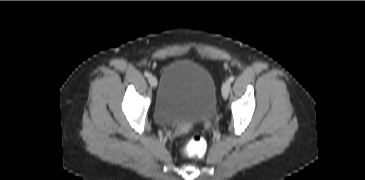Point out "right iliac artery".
<instances>
[{"instance_id":"right-iliac-artery-1","label":"right iliac artery","mask_w":365,"mask_h":180,"mask_svg":"<svg viewBox=\"0 0 365 180\" xmlns=\"http://www.w3.org/2000/svg\"><path fill=\"white\" fill-rule=\"evenodd\" d=\"M144 75H145L146 77H149L151 74H150L148 71H145V72H144Z\"/></svg>"}]
</instances>
